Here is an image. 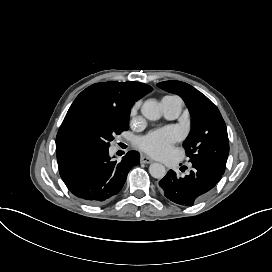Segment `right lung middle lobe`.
Masks as SVG:
<instances>
[{"mask_svg":"<svg viewBox=\"0 0 272 272\" xmlns=\"http://www.w3.org/2000/svg\"><path fill=\"white\" fill-rule=\"evenodd\" d=\"M129 128V115L96 107L77 110L61 125L56 137L57 153L75 149H108L114 135Z\"/></svg>","mask_w":272,"mask_h":272,"instance_id":"right-lung-middle-lobe-1","label":"right lung middle lobe"}]
</instances>
